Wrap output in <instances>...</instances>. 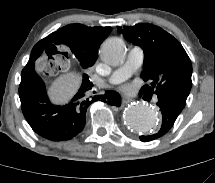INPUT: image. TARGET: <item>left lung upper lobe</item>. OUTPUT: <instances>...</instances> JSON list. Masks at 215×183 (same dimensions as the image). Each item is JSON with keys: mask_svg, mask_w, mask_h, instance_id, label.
<instances>
[{"mask_svg": "<svg viewBox=\"0 0 215 183\" xmlns=\"http://www.w3.org/2000/svg\"><path fill=\"white\" fill-rule=\"evenodd\" d=\"M117 29L125 39L144 51L142 78L151 86L144 85L140 92L169 97L184 108L192 86V65L179 41L152 24Z\"/></svg>", "mask_w": 215, "mask_h": 183, "instance_id": "obj_1", "label": "left lung upper lobe"}]
</instances>
